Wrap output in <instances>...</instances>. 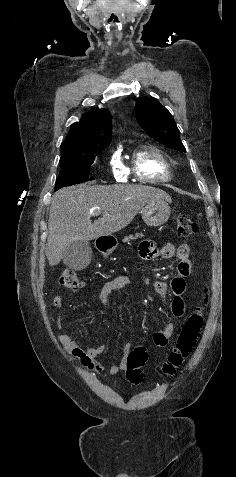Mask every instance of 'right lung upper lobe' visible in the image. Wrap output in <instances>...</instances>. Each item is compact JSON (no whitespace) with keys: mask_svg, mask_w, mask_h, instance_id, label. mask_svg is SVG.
Masks as SVG:
<instances>
[{"mask_svg":"<svg viewBox=\"0 0 236 477\" xmlns=\"http://www.w3.org/2000/svg\"><path fill=\"white\" fill-rule=\"evenodd\" d=\"M111 143V117L107 110L86 113L80 122L72 124L61 145L60 162L81 154L96 152Z\"/></svg>","mask_w":236,"mask_h":477,"instance_id":"obj_1","label":"right lung upper lobe"}]
</instances>
